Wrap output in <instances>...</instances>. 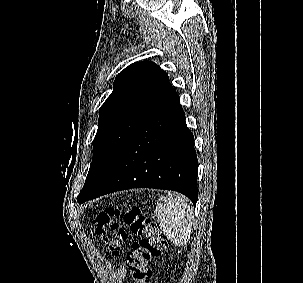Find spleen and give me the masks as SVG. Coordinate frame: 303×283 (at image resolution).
Returning <instances> with one entry per match:
<instances>
[{
  "mask_svg": "<svg viewBox=\"0 0 303 283\" xmlns=\"http://www.w3.org/2000/svg\"><path fill=\"white\" fill-rule=\"evenodd\" d=\"M155 215L163 234L176 246L185 245L191 236L193 212L181 196L168 193L157 202Z\"/></svg>",
  "mask_w": 303,
  "mask_h": 283,
  "instance_id": "obj_1",
  "label": "spleen"
}]
</instances>
